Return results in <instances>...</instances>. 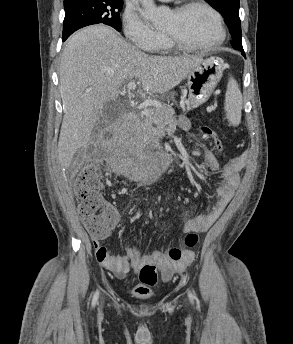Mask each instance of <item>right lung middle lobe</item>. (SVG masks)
Returning <instances> with one entry per match:
<instances>
[{
  "instance_id": "dd1d6c3e",
  "label": "right lung middle lobe",
  "mask_w": 293,
  "mask_h": 344,
  "mask_svg": "<svg viewBox=\"0 0 293 344\" xmlns=\"http://www.w3.org/2000/svg\"><path fill=\"white\" fill-rule=\"evenodd\" d=\"M122 7L123 0H78L64 4L63 41L76 30L92 24L103 23L120 31Z\"/></svg>"
}]
</instances>
